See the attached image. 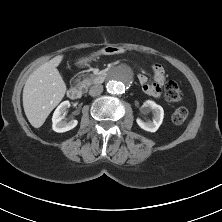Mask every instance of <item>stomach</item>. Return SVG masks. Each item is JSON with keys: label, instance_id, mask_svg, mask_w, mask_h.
Returning <instances> with one entry per match:
<instances>
[{"label": "stomach", "instance_id": "1", "mask_svg": "<svg viewBox=\"0 0 222 222\" xmlns=\"http://www.w3.org/2000/svg\"><path fill=\"white\" fill-rule=\"evenodd\" d=\"M123 49L117 46H112V45H108L106 47H104L99 54H103V55H114V54H119L122 53ZM93 60V56H86V57H81L76 61V64L79 66H83L88 64L89 62H91Z\"/></svg>", "mask_w": 222, "mask_h": 222}]
</instances>
